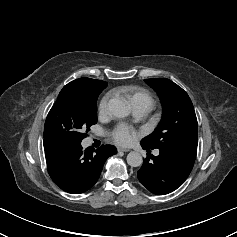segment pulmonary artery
<instances>
[{"label":"pulmonary artery","mask_w":237,"mask_h":237,"mask_svg":"<svg viewBox=\"0 0 237 237\" xmlns=\"http://www.w3.org/2000/svg\"><path fill=\"white\" fill-rule=\"evenodd\" d=\"M150 110H151V107H149L148 105H144V104H136L133 106V114L137 120L143 119L148 114V112ZM154 154L158 155L159 151L156 150L154 152Z\"/></svg>","instance_id":"pulmonary-artery-1"}]
</instances>
